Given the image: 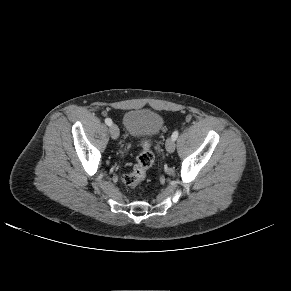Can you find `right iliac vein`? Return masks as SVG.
<instances>
[{
  "instance_id": "63e3f726",
  "label": "right iliac vein",
  "mask_w": 291,
  "mask_h": 291,
  "mask_svg": "<svg viewBox=\"0 0 291 291\" xmlns=\"http://www.w3.org/2000/svg\"><path fill=\"white\" fill-rule=\"evenodd\" d=\"M109 130H110V135L113 139H117L119 137V128L117 125L112 124Z\"/></svg>"
}]
</instances>
